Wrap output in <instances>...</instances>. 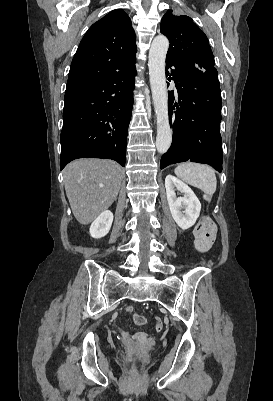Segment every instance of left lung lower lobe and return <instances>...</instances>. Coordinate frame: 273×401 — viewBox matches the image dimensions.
<instances>
[{"mask_svg":"<svg viewBox=\"0 0 273 401\" xmlns=\"http://www.w3.org/2000/svg\"><path fill=\"white\" fill-rule=\"evenodd\" d=\"M176 83L178 101L169 92V121L173 125L171 148L162 156L160 168L187 160L211 165L222 171L223 155L220 135L221 90L215 67L190 68L166 57V70ZM168 75V72H167Z\"/></svg>","mask_w":273,"mask_h":401,"instance_id":"obj_1","label":"left lung lower lobe"}]
</instances>
